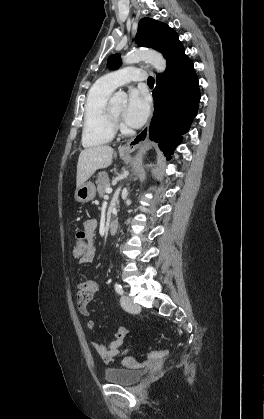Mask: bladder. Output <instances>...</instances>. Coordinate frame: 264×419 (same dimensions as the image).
I'll return each instance as SVG.
<instances>
[{
	"instance_id": "obj_1",
	"label": "bladder",
	"mask_w": 264,
	"mask_h": 419,
	"mask_svg": "<svg viewBox=\"0 0 264 419\" xmlns=\"http://www.w3.org/2000/svg\"><path fill=\"white\" fill-rule=\"evenodd\" d=\"M144 376L142 369L136 368L128 363L120 367H110L104 372L107 382L123 386H131L138 383Z\"/></svg>"
}]
</instances>
